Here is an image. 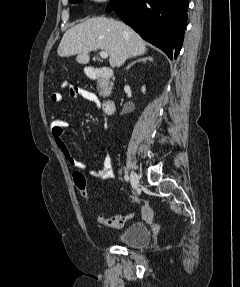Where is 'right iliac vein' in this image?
Segmentation results:
<instances>
[{"mask_svg": "<svg viewBox=\"0 0 240 287\" xmlns=\"http://www.w3.org/2000/svg\"><path fill=\"white\" fill-rule=\"evenodd\" d=\"M131 185L134 189H138L140 186V178L136 172L132 171L130 174Z\"/></svg>", "mask_w": 240, "mask_h": 287, "instance_id": "1", "label": "right iliac vein"}]
</instances>
